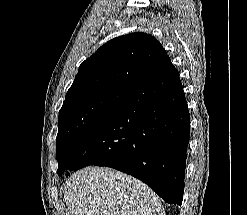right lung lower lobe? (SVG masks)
I'll return each mask as SVG.
<instances>
[{
    "mask_svg": "<svg viewBox=\"0 0 247 215\" xmlns=\"http://www.w3.org/2000/svg\"><path fill=\"white\" fill-rule=\"evenodd\" d=\"M190 114L170 58L135 87L111 115L78 140L70 170L107 166L149 185L169 204H182Z\"/></svg>",
    "mask_w": 247,
    "mask_h": 215,
    "instance_id": "obj_1",
    "label": "right lung lower lobe"
}]
</instances>
